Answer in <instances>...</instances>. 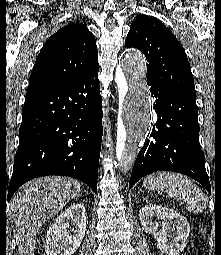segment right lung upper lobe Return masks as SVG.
<instances>
[{
  "label": "right lung upper lobe",
  "instance_id": "right-lung-upper-lobe-1",
  "mask_svg": "<svg viewBox=\"0 0 221 255\" xmlns=\"http://www.w3.org/2000/svg\"><path fill=\"white\" fill-rule=\"evenodd\" d=\"M94 35L77 22L53 34L38 55L27 92L76 79L98 67Z\"/></svg>",
  "mask_w": 221,
  "mask_h": 255
}]
</instances>
